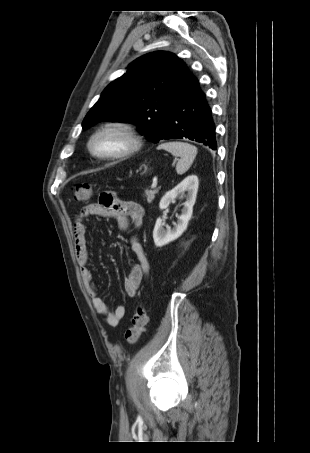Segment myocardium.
<instances>
[{"label": "myocardium", "mask_w": 310, "mask_h": 453, "mask_svg": "<svg viewBox=\"0 0 310 453\" xmlns=\"http://www.w3.org/2000/svg\"><path fill=\"white\" fill-rule=\"evenodd\" d=\"M114 133L123 138L125 145L120 150L101 154L97 152L94 148V141L98 137ZM142 147V138L138 134L135 127L125 121H111L103 124L99 128H97L89 137L87 141V149L89 153L96 159L109 161V160H116L128 157L133 155L134 153L138 152Z\"/></svg>", "instance_id": "1"}]
</instances>
